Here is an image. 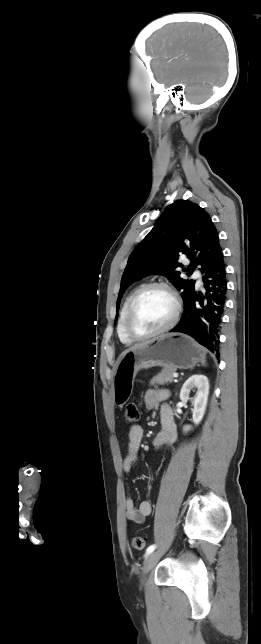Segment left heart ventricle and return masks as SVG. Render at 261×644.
I'll use <instances>...</instances> for the list:
<instances>
[{"label": "left heart ventricle", "instance_id": "b2bd125f", "mask_svg": "<svg viewBox=\"0 0 261 644\" xmlns=\"http://www.w3.org/2000/svg\"><path fill=\"white\" fill-rule=\"evenodd\" d=\"M174 304L163 289L147 290L137 301L131 326L135 333L145 335L165 326L171 319Z\"/></svg>", "mask_w": 261, "mask_h": 644}]
</instances>
